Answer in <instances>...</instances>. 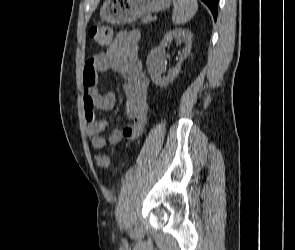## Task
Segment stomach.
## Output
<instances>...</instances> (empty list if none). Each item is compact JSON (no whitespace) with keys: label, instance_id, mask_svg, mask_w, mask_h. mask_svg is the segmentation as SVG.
<instances>
[{"label":"stomach","instance_id":"obj_1","mask_svg":"<svg viewBox=\"0 0 295 250\" xmlns=\"http://www.w3.org/2000/svg\"><path fill=\"white\" fill-rule=\"evenodd\" d=\"M171 0H106L100 17L111 24L130 23L145 14L159 12L170 6Z\"/></svg>","mask_w":295,"mask_h":250}]
</instances>
